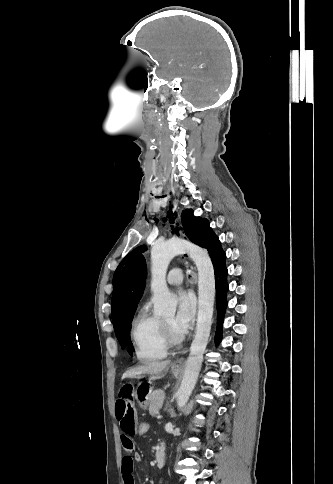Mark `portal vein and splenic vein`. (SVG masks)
<instances>
[{"instance_id":"18ae733b","label":"portal vein and splenic vein","mask_w":333,"mask_h":484,"mask_svg":"<svg viewBox=\"0 0 333 484\" xmlns=\"http://www.w3.org/2000/svg\"><path fill=\"white\" fill-rule=\"evenodd\" d=\"M161 418H162V416H161V415H157V419H161Z\"/></svg>"}]
</instances>
